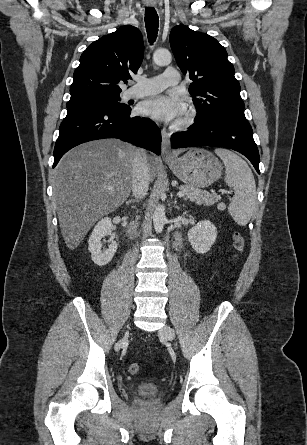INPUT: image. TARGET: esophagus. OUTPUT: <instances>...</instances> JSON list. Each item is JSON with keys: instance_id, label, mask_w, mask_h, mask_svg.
<instances>
[{"instance_id": "obj_1", "label": "esophagus", "mask_w": 307, "mask_h": 445, "mask_svg": "<svg viewBox=\"0 0 307 445\" xmlns=\"http://www.w3.org/2000/svg\"><path fill=\"white\" fill-rule=\"evenodd\" d=\"M148 7H156V3L147 4ZM161 153L163 158H173V154L170 146V134L167 132L166 128L161 130Z\"/></svg>"}]
</instances>
